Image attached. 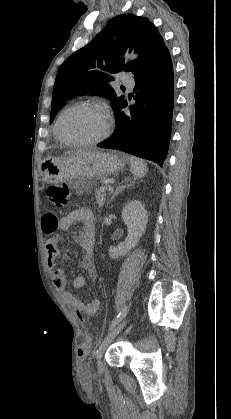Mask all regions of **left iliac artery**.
<instances>
[{
	"label": "left iliac artery",
	"instance_id": "obj_1",
	"mask_svg": "<svg viewBox=\"0 0 231 419\" xmlns=\"http://www.w3.org/2000/svg\"><path fill=\"white\" fill-rule=\"evenodd\" d=\"M126 313H127V307L124 306L122 311L118 314V316L110 324L109 330H112L125 317Z\"/></svg>",
	"mask_w": 231,
	"mask_h": 419
}]
</instances>
